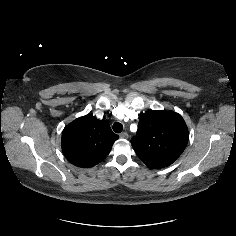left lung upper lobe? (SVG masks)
I'll return each instance as SVG.
<instances>
[{
    "label": "left lung upper lobe",
    "instance_id": "obj_1",
    "mask_svg": "<svg viewBox=\"0 0 236 236\" xmlns=\"http://www.w3.org/2000/svg\"><path fill=\"white\" fill-rule=\"evenodd\" d=\"M189 134L182 116L173 111H148L140 116L131 139L138 157L150 168H164L184 151Z\"/></svg>",
    "mask_w": 236,
    "mask_h": 236
}]
</instances>
